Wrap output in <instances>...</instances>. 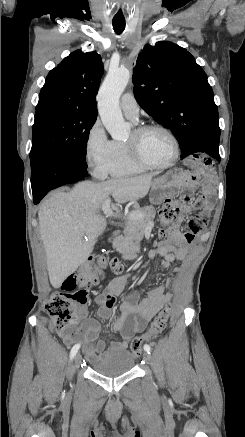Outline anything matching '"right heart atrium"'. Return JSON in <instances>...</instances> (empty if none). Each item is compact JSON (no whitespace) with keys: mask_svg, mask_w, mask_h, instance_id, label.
<instances>
[{"mask_svg":"<svg viewBox=\"0 0 245 437\" xmlns=\"http://www.w3.org/2000/svg\"><path fill=\"white\" fill-rule=\"evenodd\" d=\"M114 141L109 139L100 120L91 126L85 141V160L93 174L103 178L113 157Z\"/></svg>","mask_w":245,"mask_h":437,"instance_id":"d8ad5b80","label":"right heart atrium"}]
</instances>
